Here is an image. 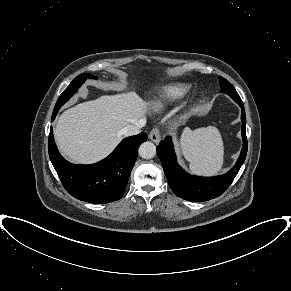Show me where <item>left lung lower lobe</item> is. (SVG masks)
Segmentation results:
<instances>
[{"label": "left lung lower lobe", "instance_id": "1", "mask_svg": "<svg viewBox=\"0 0 291 291\" xmlns=\"http://www.w3.org/2000/svg\"><path fill=\"white\" fill-rule=\"evenodd\" d=\"M235 101L242 109L241 130L243 147L235 166L226 174L214 177H201L190 175L185 172L177 163L171 137H166L157 147V154L162 161V167L169 186L178 197L187 201L197 202L216 198L224 193L239 172L246 158L248 143L246 137V116L243 102L241 98H236Z\"/></svg>", "mask_w": 291, "mask_h": 291}]
</instances>
